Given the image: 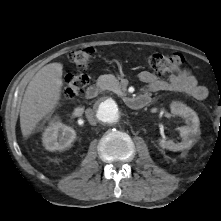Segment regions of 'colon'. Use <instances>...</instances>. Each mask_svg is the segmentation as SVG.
<instances>
[{"label":"colon","instance_id":"obj_1","mask_svg":"<svg viewBox=\"0 0 221 221\" xmlns=\"http://www.w3.org/2000/svg\"><path fill=\"white\" fill-rule=\"evenodd\" d=\"M94 49L87 47L71 54V60L80 70L89 67L93 57ZM150 69L157 75L174 73L180 70L184 63V57L181 54H162L154 53L147 58ZM89 83L88 76L85 74H70L66 76L64 81V93L67 97H76L82 94ZM216 116L221 122V96L215 106Z\"/></svg>","mask_w":221,"mask_h":221}]
</instances>
